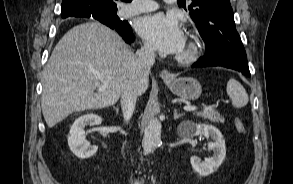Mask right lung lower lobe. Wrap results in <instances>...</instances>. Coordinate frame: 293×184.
Instances as JSON below:
<instances>
[{"mask_svg": "<svg viewBox=\"0 0 293 184\" xmlns=\"http://www.w3.org/2000/svg\"><path fill=\"white\" fill-rule=\"evenodd\" d=\"M80 17H91L96 20H99L101 23L109 26L112 29H115L127 43H131L134 40V35L131 26L127 21L120 20L119 18H109L105 16L104 13L101 11L92 12L90 14H85Z\"/></svg>", "mask_w": 293, "mask_h": 184, "instance_id": "obj_1", "label": "right lung lower lobe"}]
</instances>
